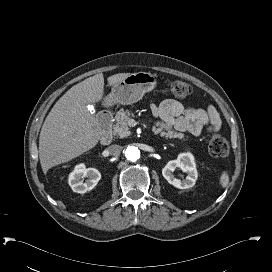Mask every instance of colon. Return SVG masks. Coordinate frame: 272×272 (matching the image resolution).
Returning a JSON list of instances; mask_svg holds the SVG:
<instances>
[{"label":"colon","mask_w":272,"mask_h":272,"mask_svg":"<svg viewBox=\"0 0 272 272\" xmlns=\"http://www.w3.org/2000/svg\"><path fill=\"white\" fill-rule=\"evenodd\" d=\"M165 87L170 96L177 99H183L192 92L191 86L182 81L166 80ZM209 152L215 157H225L229 153V145L227 140L217 134L213 129L209 140Z\"/></svg>","instance_id":"obj_1"}]
</instances>
